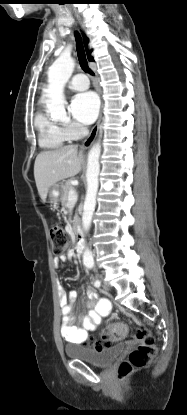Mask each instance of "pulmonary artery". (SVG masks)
Returning <instances> with one entry per match:
<instances>
[{"label": "pulmonary artery", "mask_w": 187, "mask_h": 415, "mask_svg": "<svg viewBox=\"0 0 187 415\" xmlns=\"http://www.w3.org/2000/svg\"><path fill=\"white\" fill-rule=\"evenodd\" d=\"M68 87L75 91H82L89 87V80L84 74H75L69 81Z\"/></svg>", "instance_id": "1"}]
</instances>
